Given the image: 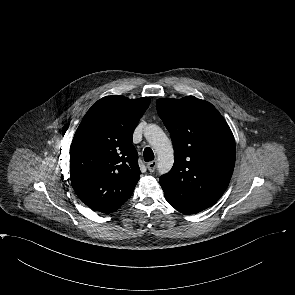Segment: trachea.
Returning <instances> with one entry per match:
<instances>
[{
  "label": "trachea",
  "instance_id": "obj_1",
  "mask_svg": "<svg viewBox=\"0 0 295 295\" xmlns=\"http://www.w3.org/2000/svg\"><path fill=\"white\" fill-rule=\"evenodd\" d=\"M144 161L149 162L154 160V153L150 147H146L143 152Z\"/></svg>",
  "mask_w": 295,
  "mask_h": 295
}]
</instances>
